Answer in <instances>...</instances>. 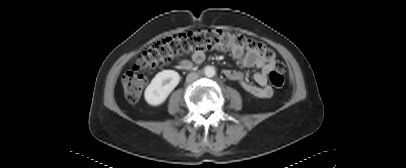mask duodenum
<instances>
[{"mask_svg": "<svg viewBox=\"0 0 406 168\" xmlns=\"http://www.w3.org/2000/svg\"><path fill=\"white\" fill-rule=\"evenodd\" d=\"M179 69L182 71H189L192 69V65L187 61H183L179 64Z\"/></svg>", "mask_w": 406, "mask_h": 168, "instance_id": "1", "label": "duodenum"}]
</instances>
